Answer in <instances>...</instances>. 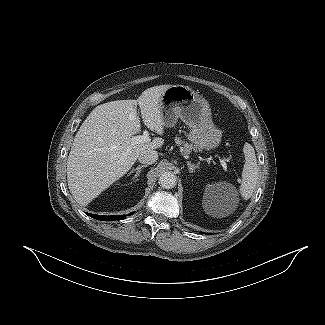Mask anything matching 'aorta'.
<instances>
[{"instance_id":"aorta-1","label":"aorta","mask_w":325,"mask_h":325,"mask_svg":"<svg viewBox=\"0 0 325 325\" xmlns=\"http://www.w3.org/2000/svg\"><path fill=\"white\" fill-rule=\"evenodd\" d=\"M177 177L171 171L162 172L159 177V185L165 189H171L176 186Z\"/></svg>"}]
</instances>
